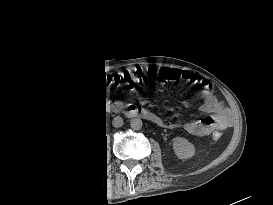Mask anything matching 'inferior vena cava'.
<instances>
[{
    "mask_svg": "<svg viewBox=\"0 0 273 205\" xmlns=\"http://www.w3.org/2000/svg\"><path fill=\"white\" fill-rule=\"evenodd\" d=\"M123 119L121 117H116L114 120H113V126L118 128V127H121L123 126Z\"/></svg>",
    "mask_w": 273,
    "mask_h": 205,
    "instance_id": "obj_1",
    "label": "inferior vena cava"
}]
</instances>
